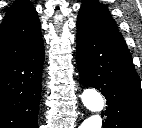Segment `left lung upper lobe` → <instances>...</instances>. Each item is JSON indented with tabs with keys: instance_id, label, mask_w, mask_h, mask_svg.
<instances>
[{
	"instance_id": "5c2ea615",
	"label": "left lung upper lobe",
	"mask_w": 142,
	"mask_h": 128,
	"mask_svg": "<svg viewBox=\"0 0 142 128\" xmlns=\"http://www.w3.org/2000/svg\"><path fill=\"white\" fill-rule=\"evenodd\" d=\"M77 24L106 39L125 43L107 7L95 0H85L82 3Z\"/></svg>"
}]
</instances>
